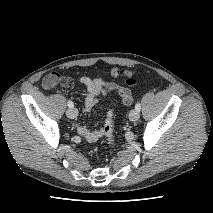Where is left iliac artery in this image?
Masks as SVG:
<instances>
[{
	"label": "left iliac artery",
	"mask_w": 213,
	"mask_h": 213,
	"mask_svg": "<svg viewBox=\"0 0 213 213\" xmlns=\"http://www.w3.org/2000/svg\"><path fill=\"white\" fill-rule=\"evenodd\" d=\"M135 109L137 110V111H140V109H141V105H140V103L138 102V103H136V105H135Z\"/></svg>",
	"instance_id": "44dca946"
}]
</instances>
